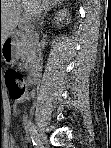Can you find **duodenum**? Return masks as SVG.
Instances as JSON below:
<instances>
[{"label": "duodenum", "instance_id": "410a0bca", "mask_svg": "<svg viewBox=\"0 0 111 148\" xmlns=\"http://www.w3.org/2000/svg\"><path fill=\"white\" fill-rule=\"evenodd\" d=\"M38 77H39V74H38L37 67L31 68V71L28 77V83L31 85L38 83Z\"/></svg>", "mask_w": 111, "mask_h": 148}]
</instances>
